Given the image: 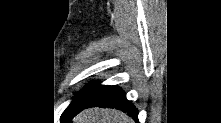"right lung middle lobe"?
<instances>
[{"mask_svg":"<svg viewBox=\"0 0 221 123\" xmlns=\"http://www.w3.org/2000/svg\"><path fill=\"white\" fill-rule=\"evenodd\" d=\"M98 87V84H91L76 95L71 104L64 111V115L66 117H74L76 114L82 111L84 107L91 101L93 94Z\"/></svg>","mask_w":221,"mask_h":123,"instance_id":"right-lung-middle-lobe-1","label":"right lung middle lobe"}]
</instances>
